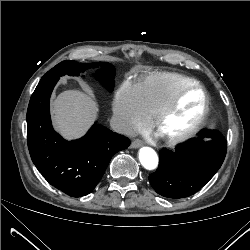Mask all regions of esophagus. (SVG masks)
I'll return each mask as SVG.
<instances>
[{
	"label": "esophagus",
	"instance_id": "1",
	"mask_svg": "<svg viewBox=\"0 0 250 250\" xmlns=\"http://www.w3.org/2000/svg\"><path fill=\"white\" fill-rule=\"evenodd\" d=\"M141 146H142V142L139 139L132 141V143L130 145V147L134 148V149L139 148Z\"/></svg>",
	"mask_w": 250,
	"mask_h": 250
}]
</instances>
